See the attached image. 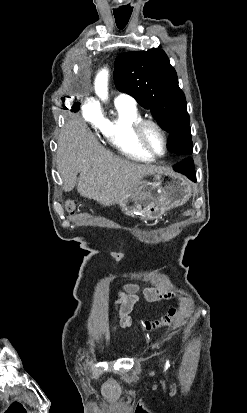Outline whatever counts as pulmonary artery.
Wrapping results in <instances>:
<instances>
[{
    "instance_id": "pulmonary-artery-1",
    "label": "pulmonary artery",
    "mask_w": 247,
    "mask_h": 413,
    "mask_svg": "<svg viewBox=\"0 0 247 413\" xmlns=\"http://www.w3.org/2000/svg\"><path fill=\"white\" fill-rule=\"evenodd\" d=\"M116 103L124 106L133 105L135 103V99L132 95L125 92H119L115 98Z\"/></svg>"
}]
</instances>
